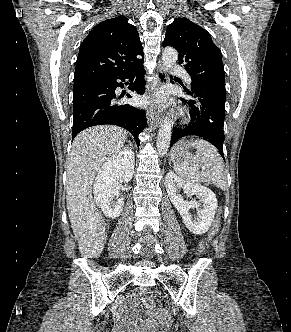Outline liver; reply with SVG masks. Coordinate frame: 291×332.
<instances>
[{"mask_svg": "<svg viewBox=\"0 0 291 332\" xmlns=\"http://www.w3.org/2000/svg\"><path fill=\"white\" fill-rule=\"evenodd\" d=\"M127 139L116 126H95L79 133L67 164L66 201L71 228L83 257L98 258L105 242V222L92 196L93 180L118 154Z\"/></svg>", "mask_w": 291, "mask_h": 332, "instance_id": "6515ba94", "label": "liver"}]
</instances>
